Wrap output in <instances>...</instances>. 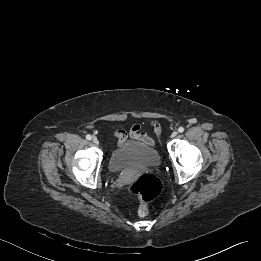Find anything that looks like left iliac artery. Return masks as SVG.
<instances>
[{
  "label": "left iliac artery",
  "mask_w": 261,
  "mask_h": 261,
  "mask_svg": "<svg viewBox=\"0 0 261 261\" xmlns=\"http://www.w3.org/2000/svg\"><path fill=\"white\" fill-rule=\"evenodd\" d=\"M178 131H179L180 133H182V132L184 131V128H183V127H179V128H178Z\"/></svg>",
  "instance_id": "44dca946"
}]
</instances>
